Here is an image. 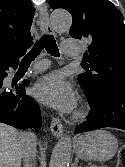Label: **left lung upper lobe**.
Masks as SVG:
<instances>
[{"mask_svg": "<svg viewBox=\"0 0 125 167\" xmlns=\"http://www.w3.org/2000/svg\"><path fill=\"white\" fill-rule=\"evenodd\" d=\"M51 8L72 14L70 36L87 40L88 50L78 76L93 100L106 88H125V24L122 13L109 0H49ZM87 62V63H86Z\"/></svg>", "mask_w": 125, "mask_h": 167, "instance_id": "obj_1", "label": "left lung upper lobe"}]
</instances>
